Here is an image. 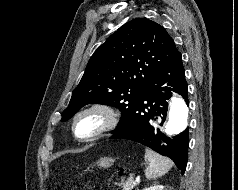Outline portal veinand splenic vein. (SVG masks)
Masks as SVG:
<instances>
[{
    "instance_id": "obj_1",
    "label": "portal vein and splenic vein",
    "mask_w": 238,
    "mask_h": 190,
    "mask_svg": "<svg viewBox=\"0 0 238 190\" xmlns=\"http://www.w3.org/2000/svg\"><path fill=\"white\" fill-rule=\"evenodd\" d=\"M130 177H133V175L131 174ZM137 182H139V179H136Z\"/></svg>"
}]
</instances>
